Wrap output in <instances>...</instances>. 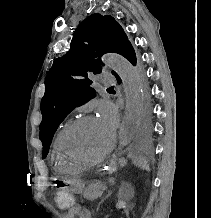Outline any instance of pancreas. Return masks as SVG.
I'll return each instance as SVG.
<instances>
[{
    "instance_id": "obj_1",
    "label": "pancreas",
    "mask_w": 211,
    "mask_h": 218,
    "mask_svg": "<svg viewBox=\"0 0 211 218\" xmlns=\"http://www.w3.org/2000/svg\"><path fill=\"white\" fill-rule=\"evenodd\" d=\"M103 190V184L101 182H95V184H90L88 188H85L82 196L86 200H96L101 196Z\"/></svg>"
}]
</instances>
